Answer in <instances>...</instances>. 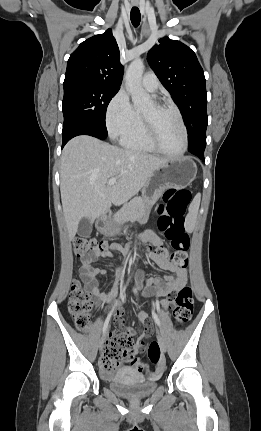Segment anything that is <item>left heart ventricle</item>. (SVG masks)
<instances>
[{"instance_id":"1","label":"left heart ventricle","mask_w":261,"mask_h":431,"mask_svg":"<svg viewBox=\"0 0 261 431\" xmlns=\"http://www.w3.org/2000/svg\"><path fill=\"white\" fill-rule=\"evenodd\" d=\"M142 114L153 122L158 142L165 151L174 154L182 149V129L173 111L157 110L151 103Z\"/></svg>"}]
</instances>
